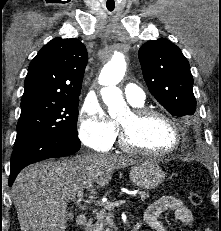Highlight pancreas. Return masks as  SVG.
<instances>
[{
    "instance_id": "pancreas-1",
    "label": "pancreas",
    "mask_w": 221,
    "mask_h": 231,
    "mask_svg": "<svg viewBox=\"0 0 221 231\" xmlns=\"http://www.w3.org/2000/svg\"><path fill=\"white\" fill-rule=\"evenodd\" d=\"M142 200L149 198L150 194L145 191L138 193ZM112 214L108 208L103 207L100 211L96 212V222L91 226L90 231H115L116 227L113 225Z\"/></svg>"
}]
</instances>
